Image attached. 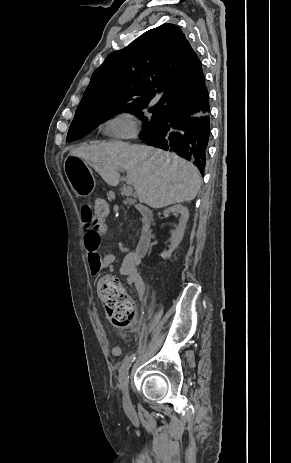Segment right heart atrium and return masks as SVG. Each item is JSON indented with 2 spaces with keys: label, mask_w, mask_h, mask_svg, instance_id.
Masks as SVG:
<instances>
[{
  "label": "right heart atrium",
  "mask_w": 291,
  "mask_h": 463,
  "mask_svg": "<svg viewBox=\"0 0 291 463\" xmlns=\"http://www.w3.org/2000/svg\"><path fill=\"white\" fill-rule=\"evenodd\" d=\"M107 134L114 138H129L137 133V123L135 117L122 112L113 116L106 123Z\"/></svg>",
  "instance_id": "obj_1"
}]
</instances>
